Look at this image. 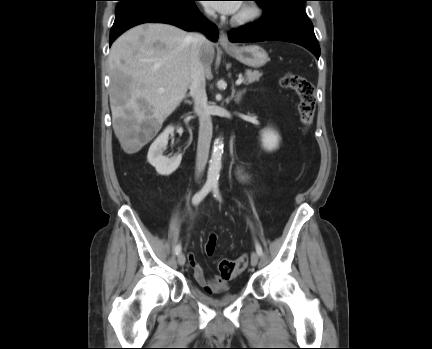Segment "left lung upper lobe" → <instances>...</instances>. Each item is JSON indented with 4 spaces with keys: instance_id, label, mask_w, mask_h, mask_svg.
Masks as SVG:
<instances>
[{
    "instance_id": "left-lung-upper-lobe-1",
    "label": "left lung upper lobe",
    "mask_w": 432,
    "mask_h": 349,
    "mask_svg": "<svg viewBox=\"0 0 432 349\" xmlns=\"http://www.w3.org/2000/svg\"><path fill=\"white\" fill-rule=\"evenodd\" d=\"M257 1L263 10H267L272 6L283 8L298 9L304 11V1L307 0H254Z\"/></svg>"
}]
</instances>
